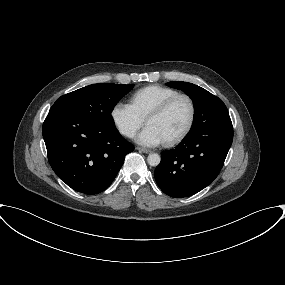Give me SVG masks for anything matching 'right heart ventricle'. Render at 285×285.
Segmentation results:
<instances>
[{
	"instance_id": "right-heart-ventricle-1",
	"label": "right heart ventricle",
	"mask_w": 285,
	"mask_h": 285,
	"mask_svg": "<svg viewBox=\"0 0 285 285\" xmlns=\"http://www.w3.org/2000/svg\"><path fill=\"white\" fill-rule=\"evenodd\" d=\"M178 93L179 92L173 88L161 85H150L134 92L130 101L137 113L145 119L153 109Z\"/></svg>"
}]
</instances>
